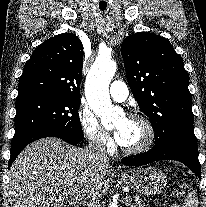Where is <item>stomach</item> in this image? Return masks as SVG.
I'll return each instance as SVG.
<instances>
[{"label":"stomach","mask_w":206,"mask_h":207,"mask_svg":"<svg viewBox=\"0 0 206 207\" xmlns=\"http://www.w3.org/2000/svg\"><path fill=\"white\" fill-rule=\"evenodd\" d=\"M121 181L142 195H155L167 184L165 174L155 167L137 168L129 175L121 177Z\"/></svg>","instance_id":"1"}]
</instances>
